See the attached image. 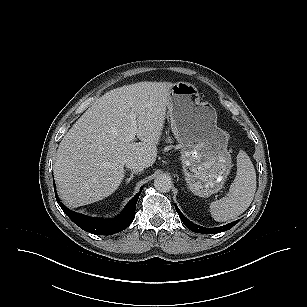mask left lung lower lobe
Here are the masks:
<instances>
[{"mask_svg":"<svg viewBox=\"0 0 307 307\" xmlns=\"http://www.w3.org/2000/svg\"><path fill=\"white\" fill-rule=\"evenodd\" d=\"M175 209L177 211V213L179 214L180 219L182 220V222L185 224L186 227H188L191 231L193 232H197V233H202V234H213V233H221L224 231H227L229 229H231L233 226H235L239 221L236 220L234 222H231L227 225L224 226H220V227H215V228H205L199 225L194 224L193 222H191L190 220H188L179 210V208L175 205Z\"/></svg>","mask_w":307,"mask_h":307,"instance_id":"obj_1","label":"left lung lower lobe"}]
</instances>
